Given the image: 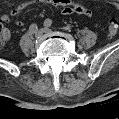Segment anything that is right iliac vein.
<instances>
[{
	"mask_svg": "<svg viewBox=\"0 0 119 119\" xmlns=\"http://www.w3.org/2000/svg\"><path fill=\"white\" fill-rule=\"evenodd\" d=\"M42 34H43V30H42V29L37 30V31L34 33L35 37H40Z\"/></svg>",
	"mask_w": 119,
	"mask_h": 119,
	"instance_id": "1",
	"label": "right iliac vein"
}]
</instances>
